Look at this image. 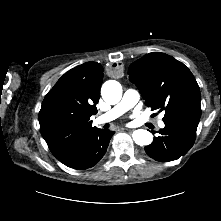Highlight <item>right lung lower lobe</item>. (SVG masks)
Wrapping results in <instances>:
<instances>
[{
	"label": "right lung lower lobe",
	"mask_w": 221,
	"mask_h": 221,
	"mask_svg": "<svg viewBox=\"0 0 221 221\" xmlns=\"http://www.w3.org/2000/svg\"><path fill=\"white\" fill-rule=\"evenodd\" d=\"M113 134L96 128L57 159L70 168H91L103 158Z\"/></svg>",
	"instance_id": "obj_1"
}]
</instances>
